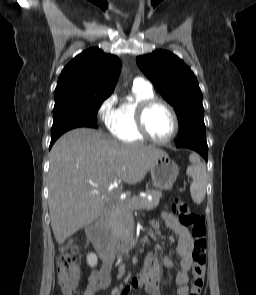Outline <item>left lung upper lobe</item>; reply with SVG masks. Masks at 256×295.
I'll list each match as a JSON object with an SVG mask.
<instances>
[{"label": "left lung upper lobe", "instance_id": "left-lung-upper-lobe-1", "mask_svg": "<svg viewBox=\"0 0 256 295\" xmlns=\"http://www.w3.org/2000/svg\"><path fill=\"white\" fill-rule=\"evenodd\" d=\"M136 62L160 94L173 105L179 121L176 143L206 139L202 93L191 69L165 50L139 56Z\"/></svg>", "mask_w": 256, "mask_h": 295}]
</instances>
